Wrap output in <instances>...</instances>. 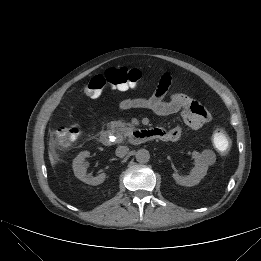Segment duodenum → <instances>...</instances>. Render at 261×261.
I'll return each instance as SVG.
<instances>
[{"mask_svg": "<svg viewBox=\"0 0 261 261\" xmlns=\"http://www.w3.org/2000/svg\"><path fill=\"white\" fill-rule=\"evenodd\" d=\"M160 133L156 129H137L132 132L131 142L134 144L144 143L153 139H158ZM114 135L108 130H102L100 133V141L108 146L114 143Z\"/></svg>", "mask_w": 261, "mask_h": 261, "instance_id": "410a0bca", "label": "duodenum"}]
</instances>
